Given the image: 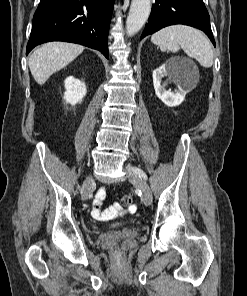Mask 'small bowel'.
I'll return each instance as SVG.
<instances>
[{"mask_svg": "<svg viewBox=\"0 0 247 296\" xmlns=\"http://www.w3.org/2000/svg\"><path fill=\"white\" fill-rule=\"evenodd\" d=\"M106 191L105 189H100L98 194H97V201L95 202L94 205V209H93V216L97 219V220H103V219H107L105 217V215L109 212L112 211V208L115 207L116 205H114L113 207L106 209L104 211H102L99 207V201L102 200L105 197Z\"/></svg>", "mask_w": 247, "mask_h": 296, "instance_id": "small-bowel-1", "label": "small bowel"}]
</instances>
